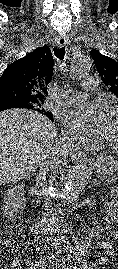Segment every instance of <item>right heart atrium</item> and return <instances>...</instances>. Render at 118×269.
Returning a JSON list of instances; mask_svg holds the SVG:
<instances>
[{"label":"right heart atrium","instance_id":"obj_1","mask_svg":"<svg viewBox=\"0 0 118 269\" xmlns=\"http://www.w3.org/2000/svg\"><path fill=\"white\" fill-rule=\"evenodd\" d=\"M69 136V138L73 141V142H77V138L72 136L71 134H67Z\"/></svg>","mask_w":118,"mask_h":269}]
</instances>
